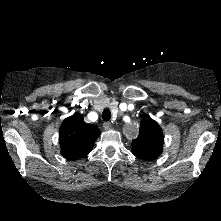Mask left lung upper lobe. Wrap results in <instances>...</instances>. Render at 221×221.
<instances>
[{
    "instance_id": "1",
    "label": "left lung upper lobe",
    "mask_w": 221,
    "mask_h": 221,
    "mask_svg": "<svg viewBox=\"0 0 221 221\" xmlns=\"http://www.w3.org/2000/svg\"><path fill=\"white\" fill-rule=\"evenodd\" d=\"M163 132L158 123L146 116L141 121L138 138L132 141V153L144 160L156 159L163 149Z\"/></svg>"
}]
</instances>
